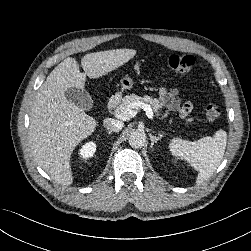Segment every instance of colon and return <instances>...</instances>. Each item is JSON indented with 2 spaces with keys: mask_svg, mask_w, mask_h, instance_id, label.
<instances>
[{
  "mask_svg": "<svg viewBox=\"0 0 251 251\" xmlns=\"http://www.w3.org/2000/svg\"><path fill=\"white\" fill-rule=\"evenodd\" d=\"M167 68L181 75H190L195 69V60L189 55H171L166 61ZM205 118L208 121H214L220 116V109L213 103H208L205 106Z\"/></svg>",
  "mask_w": 251,
  "mask_h": 251,
  "instance_id": "colon-1",
  "label": "colon"
}]
</instances>
